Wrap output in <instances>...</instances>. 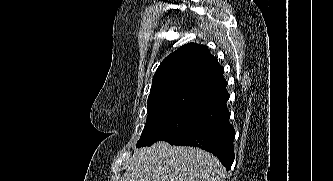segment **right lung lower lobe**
<instances>
[{
    "instance_id": "98d812e1",
    "label": "right lung lower lobe",
    "mask_w": 333,
    "mask_h": 181,
    "mask_svg": "<svg viewBox=\"0 0 333 181\" xmlns=\"http://www.w3.org/2000/svg\"><path fill=\"white\" fill-rule=\"evenodd\" d=\"M229 119L230 113L225 102L207 110L191 129L167 142L171 145L195 146L211 152L230 170L234 161L235 130Z\"/></svg>"
}]
</instances>
